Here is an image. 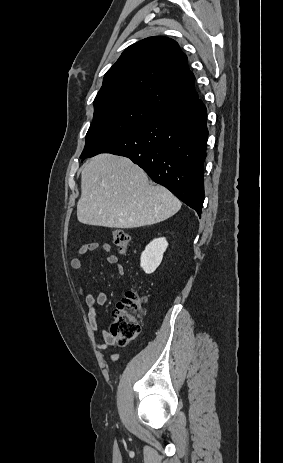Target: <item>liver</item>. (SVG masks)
Instances as JSON below:
<instances>
[{
	"instance_id": "1",
	"label": "liver",
	"mask_w": 283,
	"mask_h": 463,
	"mask_svg": "<svg viewBox=\"0 0 283 463\" xmlns=\"http://www.w3.org/2000/svg\"><path fill=\"white\" fill-rule=\"evenodd\" d=\"M181 208L165 187L125 157L100 154L81 171L78 221L92 226L136 228L162 222Z\"/></svg>"
}]
</instances>
